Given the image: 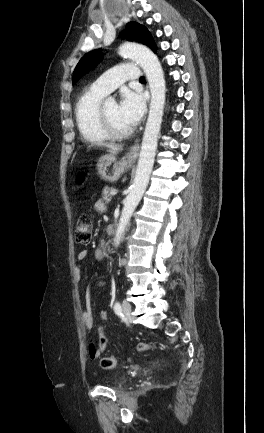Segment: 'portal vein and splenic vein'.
<instances>
[{"mask_svg":"<svg viewBox=\"0 0 264 433\" xmlns=\"http://www.w3.org/2000/svg\"><path fill=\"white\" fill-rule=\"evenodd\" d=\"M110 194H111V195H116V194H117V190H112V191L110 192Z\"/></svg>","mask_w":264,"mask_h":433,"instance_id":"obj_1","label":"portal vein and splenic vein"}]
</instances>
